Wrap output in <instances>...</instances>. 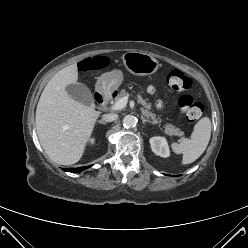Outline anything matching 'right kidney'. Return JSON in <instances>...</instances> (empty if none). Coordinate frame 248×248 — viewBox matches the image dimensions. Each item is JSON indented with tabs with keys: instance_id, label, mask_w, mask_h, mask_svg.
I'll return each instance as SVG.
<instances>
[{
	"instance_id": "right-kidney-1",
	"label": "right kidney",
	"mask_w": 248,
	"mask_h": 248,
	"mask_svg": "<svg viewBox=\"0 0 248 248\" xmlns=\"http://www.w3.org/2000/svg\"><path fill=\"white\" fill-rule=\"evenodd\" d=\"M94 141H95V139L93 138V139L90 140V143L93 144Z\"/></svg>"
}]
</instances>
